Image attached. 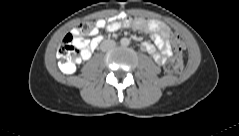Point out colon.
Segmentation results:
<instances>
[{
    "label": "colon",
    "mask_w": 239,
    "mask_h": 136,
    "mask_svg": "<svg viewBox=\"0 0 239 136\" xmlns=\"http://www.w3.org/2000/svg\"><path fill=\"white\" fill-rule=\"evenodd\" d=\"M97 21L95 19H87L77 25V33L80 35H91L96 29ZM171 46L175 55L165 64V69L170 74H178L183 69L182 51L185 48L182 37L173 33L171 37ZM79 47L74 42V35L69 33L65 36L63 42L58 49V58L61 69L66 73L75 71L79 62Z\"/></svg>",
    "instance_id": "obj_1"
}]
</instances>
